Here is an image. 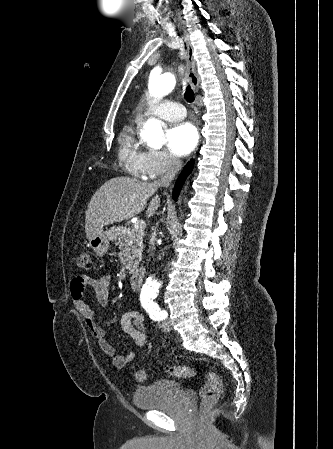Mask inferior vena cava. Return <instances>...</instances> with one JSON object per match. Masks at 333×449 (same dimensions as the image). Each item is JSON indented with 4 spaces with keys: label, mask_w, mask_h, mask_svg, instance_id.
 Here are the masks:
<instances>
[{
    "label": "inferior vena cava",
    "mask_w": 333,
    "mask_h": 449,
    "mask_svg": "<svg viewBox=\"0 0 333 449\" xmlns=\"http://www.w3.org/2000/svg\"><path fill=\"white\" fill-rule=\"evenodd\" d=\"M181 167H182V162L179 159L172 157L170 159L167 172L165 173V175L163 177H161V179L157 182V184L162 185V186H168L171 183V181L174 179L177 172L181 169ZM150 244H151V246H150L151 251H153L155 241H151Z\"/></svg>",
    "instance_id": "1"
}]
</instances>
